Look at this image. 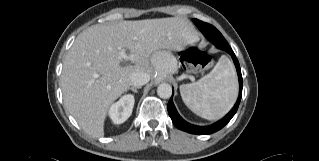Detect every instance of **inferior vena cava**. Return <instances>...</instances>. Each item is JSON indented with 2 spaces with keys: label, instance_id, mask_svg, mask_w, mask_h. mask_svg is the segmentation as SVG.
<instances>
[{
  "label": "inferior vena cava",
  "instance_id": "inferior-vena-cava-1",
  "mask_svg": "<svg viewBox=\"0 0 319 161\" xmlns=\"http://www.w3.org/2000/svg\"><path fill=\"white\" fill-rule=\"evenodd\" d=\"M150 80L149 74L145 72H133L130 75V85L134 87H141L148 83Z\"/></svg>",
  "mask_w": 319,
  "mask_h": 161
}]
</instances>
